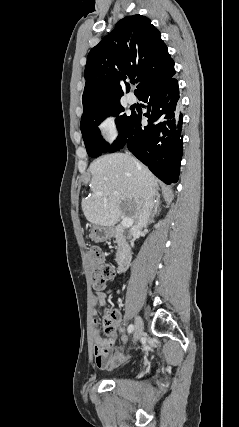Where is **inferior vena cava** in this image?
Returning <instances> with one entry per match:
<instances>
[{
	"mask_svg": "<svg viewBox=\"0 0 239 427\" xmlns=\"http://www.w3.org/2000/svg\"><path fill=\"white\" fill-rule=\"evenodd\" d=\"M148 203H149V198H146V199H145V206H147V205H148ZM143 219H144V218H140V219L138 220L137 225L135 226V228H137V226H138L139 224H141V222L143 221Z\"/></svg>",
	"mask_w": 239,
	"mask_h": 427,
	"instance_id": "602c4592",
	"label": "inferior vena cava"
}]
</instances>
